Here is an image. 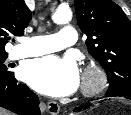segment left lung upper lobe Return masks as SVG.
Listing matches in <instances>:
<instances>
[{
	"label": "left lung upper lobe",
	"mask_w": 131,
	"mask_h": 115,
	"mask_svg": "<svg viewBox=\"0 0 131 115\" xmlns=\"http://www.w3.org/2000/svg\"><path fill=\"white\" fill-rule=\"evenodd\" d=\"M88 52L106 70L108 96H131V22L111 0H75Z\"/></svg>",
	"instance_id": "obj_1"
}]
</instances>
